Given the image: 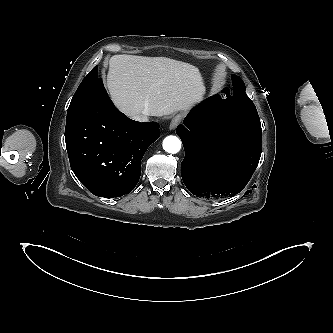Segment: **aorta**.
<instances>
[{
	"mask_svg": "<svg viewBox=\"0 0 333 333\" xmlns=\"http://www.w3.org/2000/svg\"><path fill=\"white\" fill-rule=\"evenodd\" d=\"M163 149L171 154H176L181 149V141L176 136H167L163 140Z\"/></svg>",
	"mask_w": 333,
	"mask_h": 333,
	"instance_id": "obj_1",
	"label": "aorta"
}]
</instances>
